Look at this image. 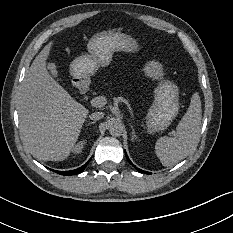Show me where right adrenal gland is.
Listing matches in <instances>:
<instances>
[{"instance_id":"right-adrenal-gland-1","label":"right adrenal gland","mask_w":233,"mask_h":233,"mask_svg":"<svg viewBox=\"0 0 233 233\" xmlns=\"http://www.w3.org/2000/svg\"><path fill=\"white\" fill-rule=\"evenodd\" d=\"M95 123H96V121H92V122H89L87 125L89 126V125L95 124Z\"/></svg>"}]
</instances>
